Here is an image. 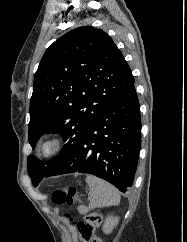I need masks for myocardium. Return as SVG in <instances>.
<instances>
[{
    "mask_svg": "<svg viewBox=\"0 0 187 242\" xmlns=\"http://www.w3.org/2000/svg\"><path fill=\"white\" fill-rule=\"evenodd\" d=\"M63 148V139L54 134L43 140L40 144V152L45 157L57 155Z\"/></svg>",
    "mask_w": 187,
    "mask_h": 242,
    "instance_id": "f54148a6",
    "label": "myocardium"
}]
</instances>
